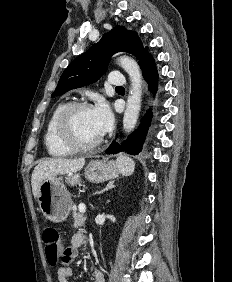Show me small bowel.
I'll return each mask as SVG.
<instances>
[{"instance_id":"obj_1","label":"small bowel","mask_w":232,"mask_h":282,"mask_svg":"<svg viewBox=\"0 0 232 282\" xmlns=\"http://www.w3.org/2000/svg\"><path fill=\"white\" fill-rule=\"evenodd\" d=\"M87 241V237L83 233H75L71 238V245L66 248L67 254L64 256L62 266L57 270L58 282H68L69 278L73 275L71 262L78 256L79 248ZM92 274L94 282H105L102 272L92 267Z\"/></svg>"}]
</instances>
